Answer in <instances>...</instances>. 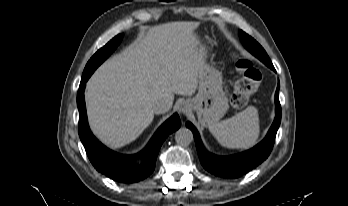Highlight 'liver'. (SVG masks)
Returning a JSON list of instances; mask_svg holds the SVG:
<instances>
[{
    "mask_svg": "<svg viewBox=\"0 0 348 206\" xmlns=\"http://www.w3.org/2000/svg\"><path fill=\"white\" fill-rule=\"evenodd\" d=\"M193 22L150 27L108 58L87 82L85 99L93 134L110 149L134 141L174 94L190 96L199 84L201 59L187 48Z\"/></svg>",
    "mask_w": 348,
    "mask_h": 206,
    "instance_id": "1",
    "label": "liver"
}]
</instances>
